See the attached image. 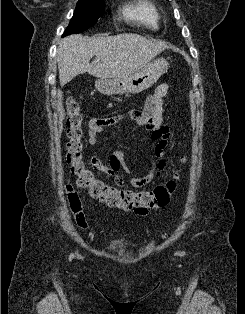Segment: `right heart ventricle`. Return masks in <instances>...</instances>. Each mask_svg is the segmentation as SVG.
<instances>
[{"instance_id":"e07e8e85","label":"right heart ventricle","mask_w":245,"mask_h":314,"mask_svg":"<svg viewBox=\"0 0 245 314\" xmlns=\"http://www.w3.org/2000/svg\"><path fill=\"white\" fill-rule=\"evenodd\" d=\"M121 12L126 19L134 23L152 29L159 27L161 15L152 0H131L122 6Z\"/></svg>"}]
</instances>
